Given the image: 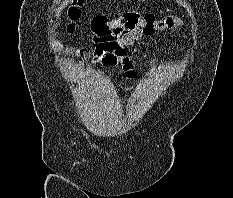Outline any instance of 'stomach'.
<instances>
[{
  "instance_id": "obj_1",
  "label": "stomach",
  "mask_w": 233,
  "mask_h": 198,
  "mask_svg": "<svg viewBox=\"0 0 233 198\" xmlns=\"http://www.w3.org/2000/svg\"><path fill=\"white\" fill-rule=\"evenodd\" d=\"M140 1H143V2H145V1H147V0H140Z\"/></svg>"
}]
</instances>
